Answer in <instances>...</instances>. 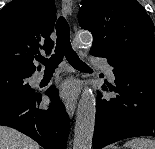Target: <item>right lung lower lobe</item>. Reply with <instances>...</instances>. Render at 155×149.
<instances>
[{
  "label": "right lung lower lobe",
  "instance_id": "obj_1",
  "mask_svg": "<svg viewBox=\"0 0 155 149\" xmlns=\"http://www.w3.org/2000/svg\"><path fill=\"white\" fill-rule=\"evenodd\" d=\"M46 95L51 98L47 110L39 109L41 97L0 99V125L28 135L45 149H65L70 128L69 117L55 87Z\"/></svg>",
  "mask_w": 155,
  "mask_h": 149
}]
</instances>
